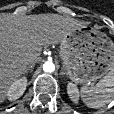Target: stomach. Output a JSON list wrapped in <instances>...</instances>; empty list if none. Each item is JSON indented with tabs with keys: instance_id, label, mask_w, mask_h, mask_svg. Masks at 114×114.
Returning <instances> with one entry per match:
<instances>
[{
	"instance_id": "obj_1",
	"label": "stomach",
	"mask_w": 114,
	"mask_h": 114,
	"mask_svg": "<svg viewBox=\"0 0 114 114\" xmlns=\"http://www.w3.org/2000/svg\"><path fill=\"white\" fill-rule=\"evenodd\" d=\"M60 57L67 75L88 85L114 69V43L105 33L84 25L66 35Z\"/></svg>"
}]
</instances>
